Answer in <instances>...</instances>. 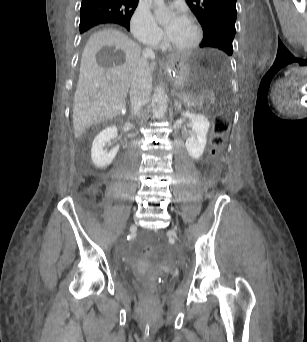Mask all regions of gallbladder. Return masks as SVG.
<instances>
[{
    "instance_id": "gallbladder-1",
    "label": "gallbladder",
    "mask_w": 307,
    "mask_h": 342,
    "mask_svg": "<svg viewBox=\"0 0 307 342\" xmlns=\"http://www.w3.org/2000/svg\"><path fill=\"white\" fill-rule=\"evenodd\" d=\"M123 113L121 114L123 117L126 115L124 112L126 111L124 108L121 110Z\"/></svg>"
}]
</instances>
